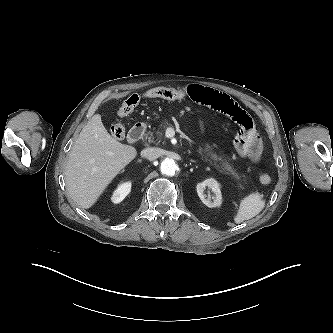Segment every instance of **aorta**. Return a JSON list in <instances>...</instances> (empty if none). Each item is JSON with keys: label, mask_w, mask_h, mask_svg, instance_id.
Instances as JSON below:
<instances>
[{"label": "aorta", "mask_w": 333, "mask_h": 333, "mask_svg": "<svg viewBox=\"0 0 333 333\" xmlns=\"http://www.w3.org/2000/svg\"><path fill=\"white\" fill-rule=\"evenodd\" d=\"M178 166L173 159L165 158L161 162L160 170L162 174L173 176Z\"/></svg>", "instance_id": "aorta-1"}]
</instances>
